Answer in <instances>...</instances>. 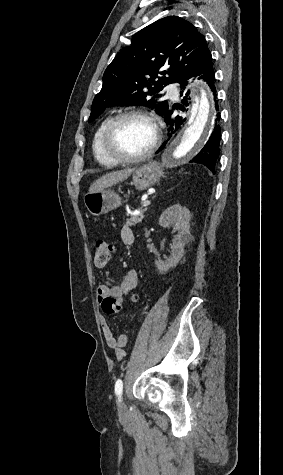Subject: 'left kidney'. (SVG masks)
<instances>
[{"label":"left kidney","instance_id":"obj_1","mask_svg":"<svg viewBox=\"0 0 283 475\" xmlns=\"http://www.w3.org/2000/svg\"><path fill=\"white\" fill-rule=\"evenodd\" d=\"M191 214L188 208H182L180 204H175L171 208H167L162 212L159 218L160 226L163 228H173L177 230V236L172 239V249L169 257L166 259H155V265L160 273H165L170 267H174L179 263L182 255H184V245L191 241L190 222Z\"/></svg>","mask_w":283,"mask_h":475}]
</instances>
